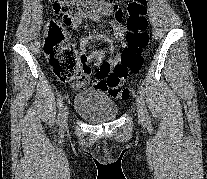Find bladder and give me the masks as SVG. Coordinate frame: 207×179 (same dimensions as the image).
I'll return each instance as SVG.
<instances>
[{"instance_id":"31cf9c89","label":"bladder","mask_w":207,"mask_h":179,"mask_svg":"<svg viewBox=\"0 0 207 179\" xmlns=\"http://www.w3.org/2000/svg\"><path fill=\"white\" fill-rule=\"evenodd\" d=\"M74 110L92 124L112 121L119 113L112 98L98 87H92L76 94Z\"/></svg>"}]
</instances>
